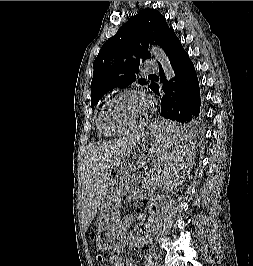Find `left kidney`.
<instances>
[{
  "label": "left kidney",
  "instance_id": "1",
  "mask_svg": "<svg viewBox=\"0 0 253 266\" xmlns=\"http://www.w3.org/2000/svg\"><path fill=\"white\" fill-rule=\"evenodd\" d=\"M136 221V217L133 215H127L123 222L119 226L118 235L120 241L129 247H138L144 244L151 234L150 230H146L144 233H133L129 230L130 226Z\"/></svg>",
  "mask_w": 253,
  "mask_h": 266
}]
</instances>
